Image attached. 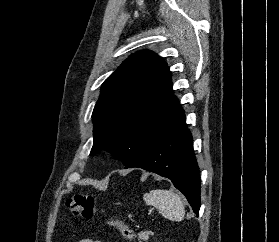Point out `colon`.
Here are the masks:
<instances>
[{
  "label": "colon",
  "instance_id": "1",
  "mask_svg": "<svg viewBox=\"0 0 279 242\" xmlns=\"http://www.w3.org/2000/svg\"><path fill=\"white\" fill-rule=\"evenodd\" d=\"M66 207L74 215L90 220L95 215L100 214L106 224L115 229L120 235L127 239L134 237V231L123 221H120L109 215L104 209L99 208L92 196L76 194L66 201Z\"/></svg>",
  "mask_w": 279,
  "mask_h": 242
}]
</instances>
